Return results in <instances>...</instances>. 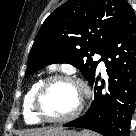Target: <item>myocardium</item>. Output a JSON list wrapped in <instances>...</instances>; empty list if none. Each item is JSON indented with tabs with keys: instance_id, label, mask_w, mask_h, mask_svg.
I'll return each instance as SVG.
<instances>
[{
	"instance_id": "myocardium-1",
	"label": "myocardium",
	"mask_w": 136,
	"mask_h": 136,
	"mask_svg": "<svg viewBox=\"0 0 136 136\" xmlns=\"http://www.w3.org/2000/svg\"><path fill=\"white\" fill-rule=\"evenodd\" d=\"M55 81H65L73 84L76 86L79 90L80 97L77 107L68 115L64 117H50L47 116L41 109V100L43 97V94L45 93L47 87ZM86 88L85 86L75 77L68 75V74H54L51 76H48L47 78L43 79L41 83L39 84L32 100V110L35 114V116L42 122L46 123H66L69 121L74 120L76 117L79 116V114L82 112L85 102V96H86Z\"/></svg>"
}]
</instances>
